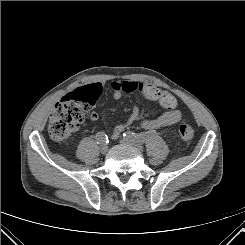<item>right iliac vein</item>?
Segmentation results:
<instances>
[{"mask_svg":"<svg viewBox=\"0 0 245 245\" xmlns=\"http://www.w3.org/2000/svg\"><path fill=\"white\" fill-rule=\"evenodd\" d=\"M107 152H108V146L103 145V146L101 147V153H102V154H106Z\"/></svg>","mask_w":245,"mask_h":245,"instance_id":"63e3f726","label":"right iliac vein"}]
</instances>
